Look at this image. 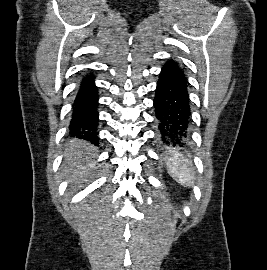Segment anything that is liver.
Listing matches in <instances>:
<instances>
[{
    "instance_id": "6515ba94",
    "label": "liver",
    "mask_w": 267,
    "mask_h": 270,
    "mask_svg": "<svg viewBox=\"0 0 267 270\" xmlns=\"http://www.w3.org/2000/svg\"><path fill=\"white\" fill-rule=\"evenodd\" d=\"M95 147L89 142L73 139L67 143L64 153L63 173L72 190L78 188L94 167Z\"/></svg>"
}]
</instances>
